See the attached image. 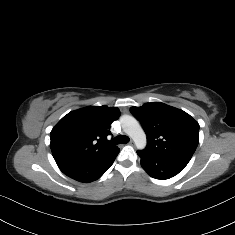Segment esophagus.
<instances>
[{"label":"esophagus","mask_w":235,"mask_h":235,"mask_svg":"<svg viewBox=\"0 0 235 235\" xmlns=\"http://www.w3.org/2000/svg\"><path fill=\"white\" fill-rule=\"evenodd\" d=\"M129 145L134 146L135 145L134 141L130 140Z\"/></svg>","instance_id":"34e87169"}]
</instances>
